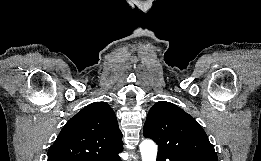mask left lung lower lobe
Listing matches in <instances>:
<instances>
[{
  "label": "left lung lower lobe",
  "mask_w": 261,
  "mask_h": 161,
  "mask_svg": "<svg viewBox=\"0 0 261 161\" xmlns=\"http://www.w3.org/2000/svg\"><path fill=\"white\" fill-rule=\"evenodd\" d=\"M201 161L198 159L188 158L174 153L158 151L157 161Z\"/></svg>",
  "instance_id": "left-lung-lower-lobe-1"
}]
</instances>
